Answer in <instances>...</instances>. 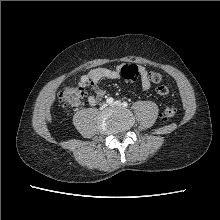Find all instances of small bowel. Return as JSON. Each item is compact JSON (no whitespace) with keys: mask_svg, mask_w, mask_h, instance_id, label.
Instances as JSON below:
<instances>
[{"mask_svg":"<svg viewBox=\"0 0 220 220\" xmlns=\"http://www.w3.org/2000/svg\"><path fill=\"white\" fill-rule=\"evenodd\" d=\"M120 76V68H107V67H97L91 70L87 75H85L81 81L80 85L82 87H87L92 90V95L88 97V103L91 106L96 105L105 95V91L98 86V83L103 79H117ZM140 86L142 91H149L151 89V82L147 78L146 71L141 68V82Z\"/></svg>","mask_w":220,"mask_h":220,"instance_id":"1","label":"small bowel"}]
</instances>
